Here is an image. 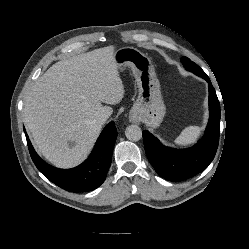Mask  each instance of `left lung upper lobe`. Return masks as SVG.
<instances>
[{
    "label": "left lung upper lobe",
    "instance_id": "1",
    "mask_svg": "<svg viewBox=\"0 0 249 249\" xmlns=\"http://www.w3.org/2000/svg\"><path fill=\"white\" fill-rule=\"evenodd\" d=\"M181 61L183 65L185 66L186 70L188 71H191V72L202 71V69L198 65H196L194 62H192L187 57H182Z\"/></svg>",
    "mask_w": 249,
    "mask_h": 249
}]
</instances>
